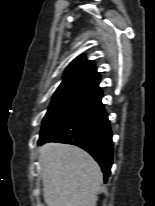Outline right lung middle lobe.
Wrapping results in <instances>:
<instances>
[{
    "label": "right lung middle lobe",
    "mask_w": 155,
    "mask_h": 206,
    "mask_svg": "<svg viewBox=\"0 0 155 206\" xmlns=\"http://www.w3.org/2000/svg\"><path fill=\"white\" fill-rule=\"evenodd\" d=\"M102 92L88 88L57 89L43 119V138L101 104Z\"/></svg>",
    "instance_id": "right-lung-middle-lobe-1"
}]
</instances>
